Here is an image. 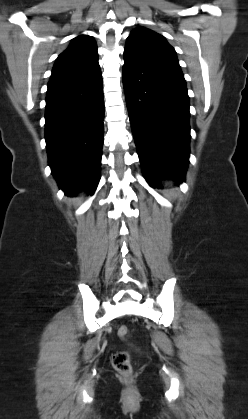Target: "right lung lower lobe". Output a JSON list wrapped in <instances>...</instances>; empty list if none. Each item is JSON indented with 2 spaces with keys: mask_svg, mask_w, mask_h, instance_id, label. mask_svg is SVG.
Instances as JSON below:
<instances>
[{
  "mask_svg": "<svg viewBox=\"0 0 248 419\" xmlns=\"http://www.w3.org/2000/svg\"><path fill=\"white\" fill-rule=\"evenodd\" d=\"M104 98L99 64L81 73L50 79L45 139L52 174L68 195L100 180Z\"/></svg>",
  "mask_w": 248,
  "mask_h": 419,
  "instance_id": "98d812e1",
  "label": "right lung lower lobe"
}]
</instances>
